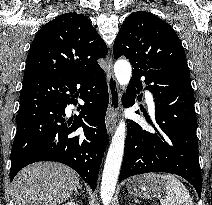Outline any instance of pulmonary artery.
Wrapping results in <instances>:
<instances>
[{"instance_id":"1","label":"pulmonary artery","mask_w":212,"mask_h":205,"mask_svg":"<svg viewBox=\"0 0 212 205\" xmlns=\"http://www.w3.org/2000/svg\"><path fill=\"white\" fill-rule=\"evenodd\" d=\"M145 97H146V101L150 107V109L154 108V100H153V96L149 91H145Z\"/></svg>"}]
</instances>
